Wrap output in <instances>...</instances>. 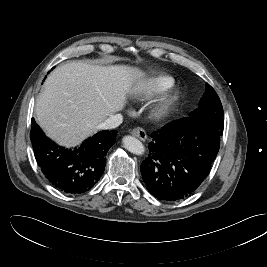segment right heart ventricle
<instances>
[{
  "mask_svg": "<svg viewBox=\"0 0 267 267\" xmlns=\"http://www.w3.org/2000/svg\"><path fill=\"white\" fill-rule=\"evenodd\" d=\"M174 85V79L165 74H155L141 78L133 85V93L138 97L157 96Z\"/></svg>",
  "mask_w": 267,
  "mask_h": 267,
  "instance_id": "1",
  "label": "right heart ventricle"
}]
</instances>
